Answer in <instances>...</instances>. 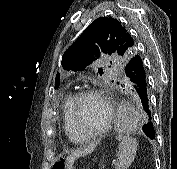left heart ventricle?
Returning a JSON list of instances; mask_svg holds the SVG:
<instances>
[{"mask_svg": "<svg viewBox=\"0 0 177 169\" xmlns=\"http://www.w3.org/2000/svg\"><path fill=\"white\" fill-rule=\"evenodd\" d=\"M105 117V108L98 98H84L77 112L78 135L85 136L97 131L103 125Z\"/></svg>", "mask_w": 177, "mask_h": 169, "instance_id": "left-heart-ventricle-1", "label": "left heart ventricle"}]
</instances>
